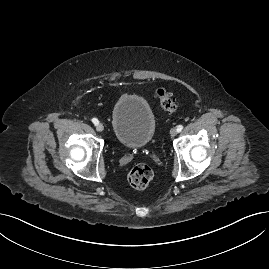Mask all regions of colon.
I'll use <instances>...</instances> for the list:
<instances>
[{"label": "colon", "instance_id": "colon-1", "mask_svg": "<svg viewBox=\"0 0 269 269\" xmlns=\"http://www.w3.org/2000/svg\"><path fill=\"white\" fill-rule=\"evenodd\" d=\"M156 96L159 100L160 107L169 112H176L178 105L171 96L170 92L165 88L156 90ZM153 179V171L146 164H138L131 169L128 174L130 185L138 190L145 189Z\"/></svg>", "mask_w": 269, "mask_h": 269}]
</instances>
